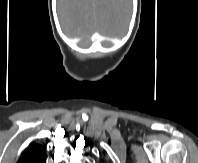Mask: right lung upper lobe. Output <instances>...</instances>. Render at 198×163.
<instances>
[{
  "instance_id": "obj_1",
  "label": "right lung upper lobe",
  "mask_w": 198,
  "mask_h": 163,
  "mask_svg": "<svg viewBox=\"0 0 198 163\" xmlns=\"http://www.w3.org/2000/svg\"><path fill=\"white\" fill-rule=\"evenodd\" d=\"M46 148L40 144H31L20 156L17 163H45Z\"/></svg>"
}]
</instances>
